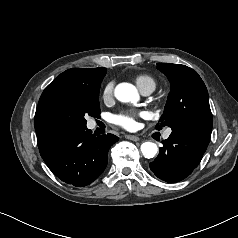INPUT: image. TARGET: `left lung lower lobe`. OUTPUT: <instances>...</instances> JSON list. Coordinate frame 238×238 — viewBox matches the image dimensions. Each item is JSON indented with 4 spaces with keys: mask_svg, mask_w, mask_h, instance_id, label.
<instances>
[{
    "mask_svg": "<svg viewBox=\"0 0 238 238\" xmlns=\"http://www.w3.org/2000/svg\"><path fill=\"white\" fill-rule=\"evenodd\" d=\"M209 140L199 135L172 131L169 138L162 141L163 147L157 158L150 163L151 171L166 182L183 180L200 163Z\"/></svg>",
    "mask_w": 238,
    "mask_h": 238,
    "instance_id": "0a47b994",
    "label": "left lung lower lobe"
}]
</instances>
